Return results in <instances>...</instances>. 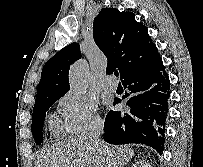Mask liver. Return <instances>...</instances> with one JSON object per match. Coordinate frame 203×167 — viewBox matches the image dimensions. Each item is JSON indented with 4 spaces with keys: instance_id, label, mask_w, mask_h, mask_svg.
I'll return each instance as SVG.
<instances>
[{
    "instance_id": "1",
    "label": "liver",
    "mask_w": 203,
    "mask_h": 167,
    "mask_svg": "<svg viewBox=\"0 0 203 167\" xmlns=\"http://www.w3.org/2000/svg\"><path fill=\"white\" fill-rule=\"evenodd\" d=\"M133 155L134 150L129 147L103 141L95 147L85 137L72 138L44 148L35 167H125Z\"/></svg>"
}]
</instances>
